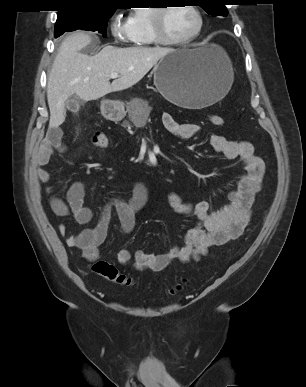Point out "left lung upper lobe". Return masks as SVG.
I'll return each instance as SVG.
<instances>
[{"label":"left lung upper lobe","mask_w":306,"mask_h":387,"mask_svg":"<svg viewBox=\"0 0 306 387\" xmlns=\"http://www.w3.org/2000/svg\"><path fill=\"white\" fill-rule=\"evenodd\" d=\"M226 0H196L209 15L226 16L228 11L225 7Z\"/></svg>","instance_id":"1"}]
</instances>
